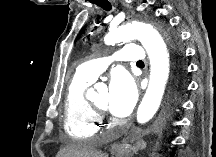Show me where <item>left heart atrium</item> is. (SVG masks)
Instances as JSON below:
<instances>
[{"label":"left heart atrium","instance_id":"39dd6f15","mask_svg":"<svg viewBox=\"0 0 216 157\" xmlns=\"http://www.w3.org/2000/svg\"><path fill=\"white\" fill-rule=\"evenodd\" d=\"M137 99V87L130 75L124 71H115L108 89L109 110L118 117H126L132 112Z\"/></svg>","mask_w":216,"mask_h":157}]
</instances>
